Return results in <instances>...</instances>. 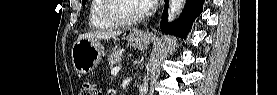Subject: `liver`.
I'll return each instance as SVG.
<instances>
[{"label": "liver", "instance_id": "liver-1", "mask_svg": "<svg viewBox=\"0 0 277 95\" xmlns=\"http://www.w3.org/2000/svg\"><path fill=\"white\" fill-rule=\"evenodd\" d=\"M121 32H88L86 34H82L78 37V39H89V40H108L110 38H113L115 36L120 35Z\"/></svg>", "mask_w": 277, "mask_h": 95}]
</instances>
